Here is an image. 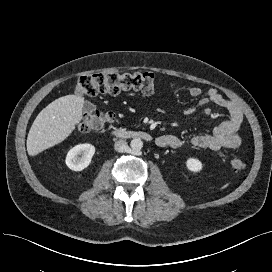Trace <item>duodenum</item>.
I'll list each match as a JSON object with an SVG mask.
<instances>
[{
  "mask_svg": "<svg viewBox=\"0 0 272 272\" xmlns=\"http://www.w3.org/2000/svg\"><path fill=\"white\" fill-rule=\"evenodd\" d=\"M113 135L115 137L124 138V139H143L146 141L152 140V136L148 132H145V131H135V130H128V129H115V130H113Z\"/></svg>",
  "mask_w": 272,
  "mask_h": 272,
  "instance_id": "410a0bca",
  "label": "duodenum"
}]
</instances>
